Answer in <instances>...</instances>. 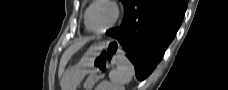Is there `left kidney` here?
I'll list each match as a JSON object with an SVG mask.
<instances>
[{
  "label": "left kidney",
  "instance_id": "left-kidney-1",
  "mask_svg": "<svg viewBox=\"0 0 228 90\" xmlns=\"http://www.w3.org/2000/svg\"><path fill=\"white\" fill-rule=\"evenodd\" d=\"M95 90H125L123 85H117L108 81H102Z\"/></svg>",
  "mask_w": 228,
  "mask_h": 90
}]
</instances>
